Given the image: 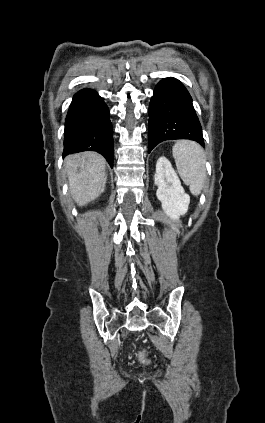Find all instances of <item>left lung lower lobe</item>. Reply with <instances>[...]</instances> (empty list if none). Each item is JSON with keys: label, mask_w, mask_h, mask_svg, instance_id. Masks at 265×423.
I'll use <instances>...</instances> for the list:
<instances>
[{"label": "left lung lower lobe", "mask_w": 265, "mask_h": 423, "mask_svg": "<svg viewBox=\"0 0 265 423\" xmlns=\"http://www.w3.org/2000/svg\"><path fill=\"white\" fill-rule=\"evenodd\" d=\"M172 139H190L204 146L189 92L179 80L169 77L158 83L149 105V152Z\"/></svg>", "instance_id": "obj_1"}]
</instances>
